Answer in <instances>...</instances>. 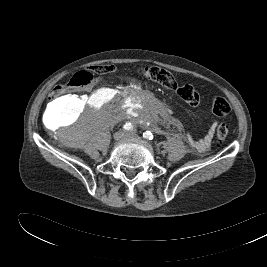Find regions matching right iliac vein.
I'll return each instance as SVG.
<instances>
[{
	"label": "right iliac vein",
	"mask_w": 267,
	"mask_h": 267,
	"mask_svg": "<svg viewBox=\"0 0 267 267\" xmlns=\"http://www.w3.org/2000/svg\"><path fill=\"white\" fill-rule=\"evenodd\" d=\"M126 136L124 131H118L114 134V139L116 141L121 140L122 138H124Z\"/></svg>",
	"instance_id": "obj_1"
}]
</instances>
